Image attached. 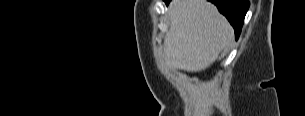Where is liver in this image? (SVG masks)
<instances>
[{"mask_svg": "<svg viewBox=\"0 0 305 116\" xmlns=\"http://www.w3.org/2000/svg\"><path fill=\"white\" fill-rule=\"evenodd\" d=\"M169 15L164 50L166 64L173 71L205 70L233 39V28L207 0H174Z\"/></svg>", "mask_w": 305, "mask_h": 116, "instance_id": "1", "label": "liver"}]
</instances>
